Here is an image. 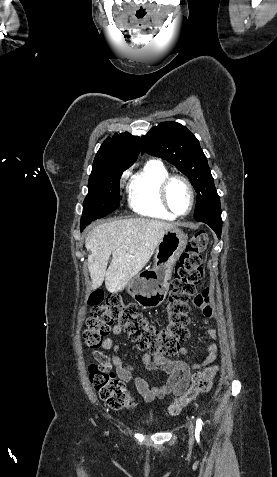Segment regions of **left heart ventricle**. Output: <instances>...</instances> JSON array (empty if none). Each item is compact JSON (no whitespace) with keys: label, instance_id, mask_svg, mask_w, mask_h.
Masks as SVG:
<instances>
[{"label":"left heart ventricle","instance_id":"left-heart-ventricle-1","mask_svg":"<svg viewBox=\"0 0 277 477\" xmlns=\"http://www.w3.org/2000/svg\"><path fill=\"white\" fill-rule=\"evenodd\" d=\"M171 207L179 214L185 213L190 205V194L187 186L180 180H174L168 190Z\"/></svg>","mask_w":277,"mask_h":477}]
</instances>
